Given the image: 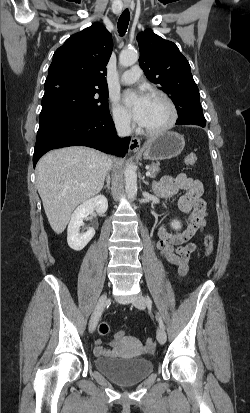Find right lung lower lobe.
<instances>
[{
	"label": "right lung lower lobe",
	"mask_w": 250,
	"mask_h": 413,
	"mask_svg": "<svg viewBox=\"0 0 250 413\" xmlns=\"http://www.w3.org/2000/svg\"><path fill=\"white\" fill-rule=\"evenodd\" d=\"M129 142L128 137L118 139L116 136L110 113L60 112L39 123L33 166L49 150L67 146H88L123 157Z\"/></svg>",
	"instance_id": "1"
}]
</instances>
